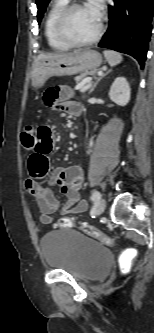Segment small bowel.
<instances>
[{
  "label": "small bowel",
  "instance_id": "small-bowel-1",
  "mask_svg": "<svg viewBox=\"0 0 154 333\" xmlns=\"http://www.w3.org/2000/svg\"><path fill=\"white\" fill-rule=\"evenodd\" d=\"M71 90L66 86L49 88L44 94V101L48 106H56L61 101L60 107L69 115L81 112L80 105L70 100ZM55 145V136L47 125L35 127L34 147L28 158V171L30 178L26 181V190L37 203L43 225L54 222V213L58 210L59 202L55 198L51 186L57 185L67 197L66 203L61 208V214H79L87 210L88 204L81 199L79 190L83 183L82 170L78 166L58 167L49 176V184L43 185L39 180L48 176L50 172L49 154Z\"/></svg>",
  "mask_w": 154,
  "mask_h": 333
}]
</instances>
